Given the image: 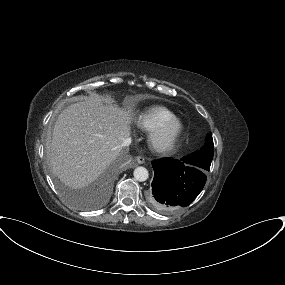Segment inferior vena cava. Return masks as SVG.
<instances>
[{"mask_svg":"<svg viewBox=\"0 0 285 285\" xmlns=\"http://www.w3.org/2000/svg\"><path fill=\"white\" fill-rule=\"evenodd\" d=\"M132 142V139L131 137H127L126 139H124V141L122 142V147H126V146H129Z\"/></svg>","mask_w":285,"mask_h":285,"instance_id":"1","label":"inferior vena cava"}]
</instances>
